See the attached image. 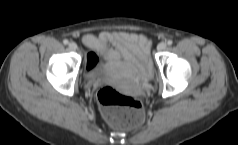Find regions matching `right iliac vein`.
Instances as JSON below:
<instances>
[{
	"mask_svg": "<svg viewBox=\"0 0 238 145\" xmlns=\"http://www.w3.org/2000/svg\"><path fill=\"white\" fill-rule=\"evenodd\" d=\"M69 48H70L71 50H76V49H77V44H76L75 42H70V43H69Z\"/></svg>",
	"mask_w": 238,
	"mask_h": 145,
	"instance_id": "63e3f726",
	"label": "right iliac vein"
}]
</instances>
